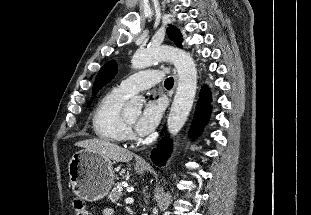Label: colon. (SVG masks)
<instances>
[{"label":"colon","mask_w":311,"mask_h":215,"mask_svg":"<svg viewBox=\"0 0 311 215\" xmlns=\"http://www.w3.org/2000/svg\"><path fill=\"white\" fill-rule=\"evenodd\" d=\"M74 215H92L86 203L80 199L73 201Z\"/></svg>","instance_id":"colon-1"}]
</instances>
